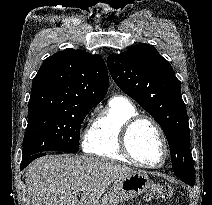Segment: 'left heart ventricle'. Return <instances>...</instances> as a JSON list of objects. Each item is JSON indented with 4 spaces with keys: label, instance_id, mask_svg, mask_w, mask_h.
<instances>
[{
    "label": "left heart ventricle",
    "instance_id": "b2bd125f",
    "mask_svg": "<svg viewBox=\"0 0 212 205\" xmlns=\"http://www.w3.org/2000/svg\"><path fill=\"white\" fill-rule=\"evenodd\" d=\"M130 146L134 155L142 162L159 163L163 157L161 139L148 122H141L132 130Z\"/></svg>",
    "mask_w": 212,
    "mask_h": 205
}]
</instances>
